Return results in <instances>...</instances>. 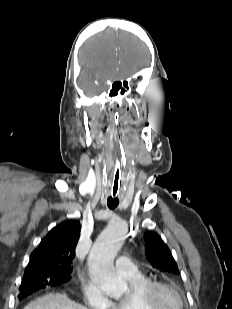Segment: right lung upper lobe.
I'll use <instances>...</instances> for the list:
<instances>
[{
    "mask_svg": "<svg viewBox=\"0 0 232 309\" xmlns=\"http://www.w3.org/2000/svg\"><path fill=\"white\" fill-rule=\"evenodd\" d=\"M80 231L81 225L77 220L55 226L31 253L24 274L51 271L70 275Z\"/></svg>",
    "mask_w": 232,
    "mask_h": 309,
    "instance_id": "right-lung-upper-lobe-1",
    "label": "right lung upper lobe"
}]
</instances>
